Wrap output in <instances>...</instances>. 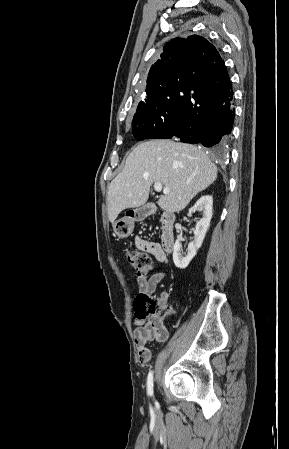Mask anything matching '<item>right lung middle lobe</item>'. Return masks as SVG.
<instances>
[{
  "label": "right lung middle lobe",
  "instance_id": "dd1d6c3e",
  "mask_svg": "<svg viewBox=\"0 0 289 449\" xmlns=\"http://www.w3.org/2000/svg\"><path fill=\"white\" fill-rule=\"evenodd\" d=\"M178 110L177 90H162L147 95L138 105L133 117L132 133L137 140L151 138L169 126Z\"/></svg>",
  "mask_w": 289,
  "mask_h": 449
}]
</instances>
